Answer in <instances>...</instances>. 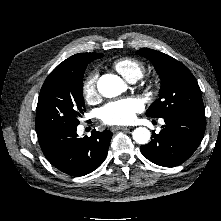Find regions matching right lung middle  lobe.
Instances as JSON below:
<instances>
[{
  "mask_svg": "<svg viewBox=\"0 0 221 221\" xmlns=\"http://www.w3.org/2000/svg\"><path fill=\"white\" fill-rule=\"evenodd\" d=\"M85 69L53 70L46 78L36 109L37 136L78 126L85 110L82 82Z\"/></svg>",
  "mask_w": 221,
  "mask_h": 221,
  "instance_id": "obj_1",
  "label": "right lung middle lobe"
}]
</instances>
